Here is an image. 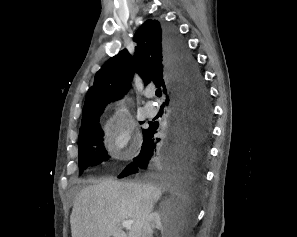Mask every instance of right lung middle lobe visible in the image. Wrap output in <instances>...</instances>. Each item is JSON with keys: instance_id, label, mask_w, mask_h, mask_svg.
I'll return each instance as SVG.
<instances>
[{"instance_id": "right-lung-middle-lobe-1", "label": "right lung middle lobe", "mask_w": 297, "mask_h": 237, "mask_svg": "<svg viewBox=\"0 0 297 237\" xmlns=\"http://www.w3.org/2000/svg\"><path fill=\"white\" fill-rule=\"evenodd\" d=\"M146 130L143 129V134H145ZM102 136L103 132L100 129L99 122L80 132L78 141L80 174L85 169L98 165L109 158L102 142Z\"/></svg>"}]
</instances>
